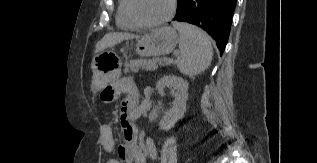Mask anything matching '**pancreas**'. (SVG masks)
<instances>
[{
	"instance_id": "cf45deb5",
	"label": "pancreas",
	"mask_w": 317,
	"mask_h": 163,
	"mask_svg": "<svg viewBox=\"0 0 317 163\" xmlns=\"http://www.w3.org/2000/svg\"><path fill=\"white\" fill-rule=\"evenodd\" d=\"M164 62L163 59L159 58H153V59H135L130 60L129 62L126 61L124 63V73H128L130 71L132 72H138L140 68L146 69V70H155L157 68V64H161Z\"/></svg>"
}]
</instances>
